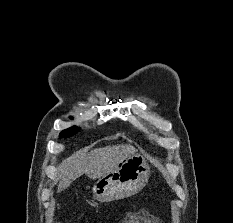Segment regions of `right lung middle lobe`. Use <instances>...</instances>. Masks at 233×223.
Returning a JSON list of instances; mask_svg holds the SVG:
<instances>
[{"instance_id": "1", "label": "right lung middle lobe", "mask_w": 233, "mask_h": 223, "mask_svg": "<svg viewBox=\"0 0 233 223\" xmlns=\"http://www.w3.org/2000/svg\"><path fill=\"white\" fill-rule=\"evenodd\" d=\"M79 130H80L79 127H75V126H74V127H72V128H69V129H66V130L62 131V132L60 133V137H61V138H64V137H66V138L71 137V136L75 135Z\"/></svg>"}]
</instances>
